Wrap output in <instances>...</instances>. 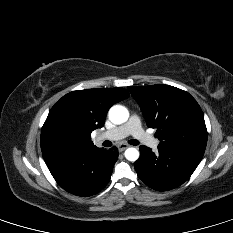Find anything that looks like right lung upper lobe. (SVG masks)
Here are the masks:
<instances>
[{"mask_svg":"<svg viewBox=\"0 0 233 233\" xmlns=\"http://www.w3.org/2000/svg\"><path fill=\"white\" fill-rule=\"evenodd\" d=\"M128 97L129 93L124 88L72 91L52 107L42 129L51 124L64 125L74 134L69 150H89L96 147L91 141V132L103 127L107 112L113 104ZM46 152L42 150V153Z\"/></svg>","mask_w":233,"mask_h":233,"instance_id":"1","label":"right lung upper lobe"}]
</instances>
